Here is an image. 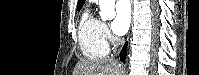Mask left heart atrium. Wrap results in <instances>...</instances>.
<instances>
[{
	"instance_id": "obj_1",
	"label": "left heart atrium",
	"mask_w": 199,
	"mask_h": 75,
	"mask_svg": "<svg viewBox=\"0 0 199 75\" xmlns=\"http://www.w3.org/2000/svg\"><path fill=\"white\" fill-rule=\"evenodd\" d=\"M131 23V7L128 1H118L115 6V19L112 24L116 35H124Z\"/></svg>"
}]
</instances>
